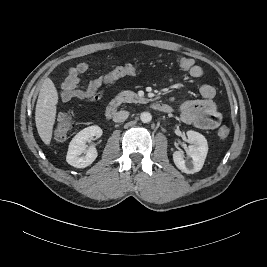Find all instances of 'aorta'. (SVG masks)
<instances>
[{"mask_svg": "<svg viewBox=\"0 0 267 267\" xmlns=\"http://www.w3.org/2000/svg\"><path fill=\"white\" fill-rule=\"evenodd\" d=\"M140 119L143 123H149L152 120V115L149 112H142Z\"/></svg>", "mask_w": 267, "mask_h": 267, "instance_id": "aorta-1", "label": "aorta"}]
</instances>
